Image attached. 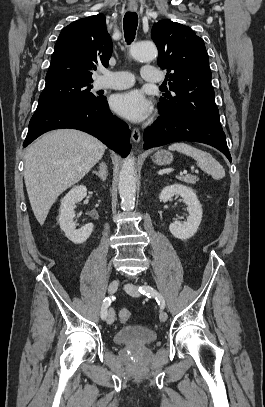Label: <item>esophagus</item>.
<instances>
[{
    "label": "esophagus",
    "instance_id": "esophagus-1",
    "mask_svg": "<svg viewBox=\"0 0 265 407\" xmlns=\"http://www.w3.org/2000/svg\"><path fill=\"white\" fill-rule=\"evenodd\" d=\"M129 10H130L131 12H135V11H137V6H129ZM131 138H132L133 142H135V143H139V142H140V140H141V134H140V131H139L138 128H134V129L132 130Z\"/></svg>",
    "mask_w": 265,
    "mask_h": 407
}]
</instances>
